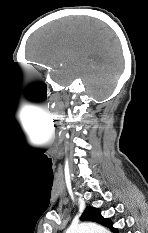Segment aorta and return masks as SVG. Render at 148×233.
I'll return each mask as SVG.
<instances>
[{
  "label": "aorta",
  "instance_id": "aorta-1",
  "mask_svg": "<svg viewBox=\"0 0 148 233\" xmlns=\"http://www.w3.org/2000/svg\"><path fill=\"white\" fill-rule=\"evenodd\" d=\"M66 233H110L106 228L96 223H80L71 225Z\"/></svg>",
  "mask_w": 148,
  "mask_h": 233
}]
</instances>
